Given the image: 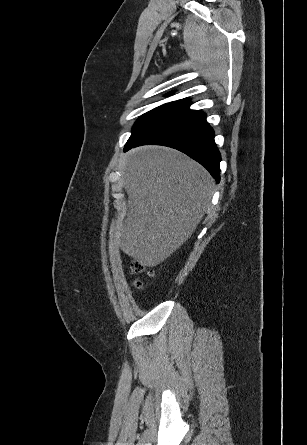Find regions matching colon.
Wrapping results in <instances>:
<instances>
[{
    "label": "colon",
    "mask_w": 307,
    "mask_h": 445,
    "mask_svg": "<svg viewBox=\"0 0 307 445\" xmlns=\"http://www.w3.org/2000/svg\"><path fill=\"white\" fill-rule=\"evenodd\" d=\"M130 270L134 274H141L146 271V266L143 264V262H141L139 260H134V261H132V263L130 265ZM135 286L138 288H141L142 284H141V282L137 281L135 283Z\"/></svg>",
    "instance_id": "5ec220e1"
}]
</instances>
